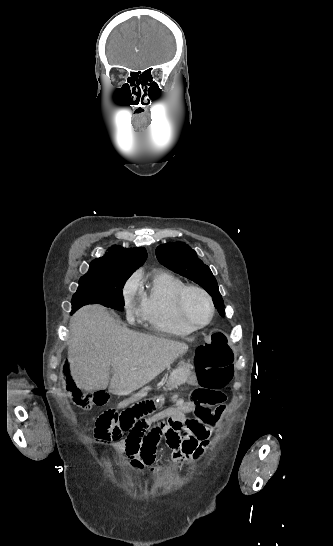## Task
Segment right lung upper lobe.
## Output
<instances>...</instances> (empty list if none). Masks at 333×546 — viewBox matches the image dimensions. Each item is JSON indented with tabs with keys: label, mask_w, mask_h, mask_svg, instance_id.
Returning a JSON list of instances; mask_svg holds the SVG:
<instances>
[{
	"label": "right lung upper lobe",
	"mask_w": 333,
	"mask_h": 546,
	"mask_svg": "<svg viewBox=\"0 0 333 546\" xmlns=\"http://www.w3.org/2000/svg\"><path fill=\"white\" fill-rule=\"evenodd\" d=\"M147 258L145 248L124 249L119 246H112L103 257L93 260L90 269L110 268L114 270L135 271Z\"/></svg>",
	"instance_id": "obj_1"
}]
</instances>
